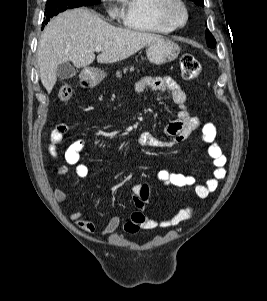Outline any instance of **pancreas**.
<instances>
[{
    "label": "pancreas",
    "mask_w": 267,
    "mask_h": 301,
    "mask_svg": "<svg viewBox=\"0 0 267 301\" xmlns=\"http://www.w3.org/2000/svg\"><path fill=\"white\" fill-rule=\"evenodd\" d=\"M130 70H131V71H134V68L131 67ZM123 71H124V73H126V72L128 71V68H124ZM116 76H117L118 78H121V77H122V73H121L120 71H118V72L116 73Z\"/></svg>",
    "instance_id": "pancreas-1"
}]
</instances>
